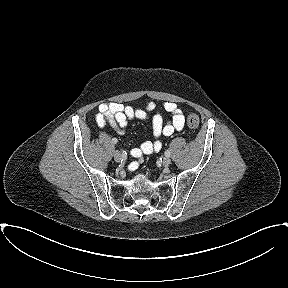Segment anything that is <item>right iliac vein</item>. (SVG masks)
<instances>
[{
	"instance_id": "obj_1",
	"label": "right iliac vein",
	"mask_w": 288,
	"mask_h": 288,
	"mask_svg": "<svg viewBox=\"0 0 288 288\" xmlns=\"http://www.w3.org/2000/svg\"><path fill=\"white\" fill-rule=\"evenodd\" d=\"M122 158H123V155L121 152H119V151L114 152V159L116 162L122 161Z\"/></svg>"
}]
</instances>
